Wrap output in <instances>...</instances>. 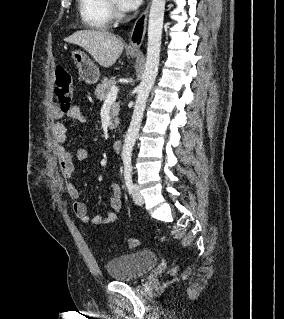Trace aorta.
<instances>
[{"mask_svg":"<svg viewBox=\"0 0 284 319\" xmlns=\"http://www.w3.org/2000/svg\"><path fill=\"white\" fill-rule=\"evenodd\" d=\"M164 12L165 0H152L148 23L146 63L142 74V81L138 86L132 119L124 141L122 150L123 160L131 159L133 146L139 133L146 102L158 73Z\"/></svg>","mask_w":284,"mask_h":319,"instance_id":"1","label":"aorta"}]
</instances>
